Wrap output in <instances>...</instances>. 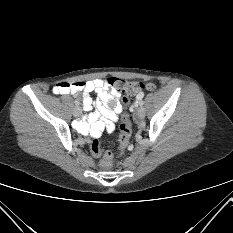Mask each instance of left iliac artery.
<instances>
[{
  "label": "left iliac artery",
  "instance_id": "left-iliac-artery-1",
  "mask_svg": "<svg viewBox=\"0 0 233 233\" xmlns=\"http://www.w3.org/2000/svg\"><path fill=\"white\" fill-rule=\"evenodd\" d=\"M142 97H143V95L137 96V98L140 100V101H139V105H140V106H142V105L144 104V102H143V100H142Z\"/></svg>",
  "mask_w": 233,
  "mask_h": 233
}]
</instances>
